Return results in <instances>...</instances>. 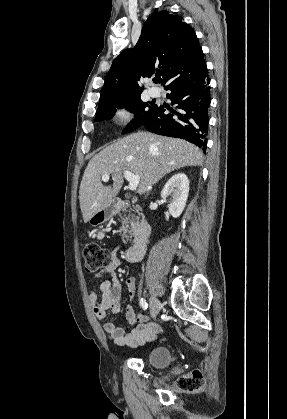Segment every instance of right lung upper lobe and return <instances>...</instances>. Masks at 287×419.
Instances as JSON below:
<instances>
[{
	"label": "right lung upper lobe",
	"mask_w": 287,
	"mask_h": 419,
	"mask_svg": "<svg viewBox=\"0 0 287 419\" xmlns=\"http://www.w3.org/2000/svg\"><path fill=\"white\" fill-rule=\"evenodd\" d=\"M206 68L194 30L180 16L162 11L149 17L133 50L115 58L106 77L98 109L140 97V79L160 74L165 87L202 74Z\"/></svg>",
	"instance_id": "1"
}]
</instances>
